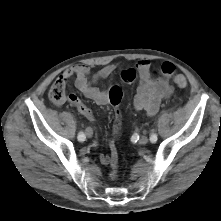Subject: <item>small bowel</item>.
<instances>
[{
	"label": "small bowel",
	"instance_id": "obj_1",
	"mask_svg": "<svg viewBox=\"0 0 221 221\" xmlns=\"http://www.w3.org/2000/svg\"><path fill=\"white\" fill-rule=\"evenodd\" d=\"M115 70L116 65L110 63L93 76H90V68L88 66L76 64L64 71L58 79L66 85L71 78H75V86L84 97L104 106L112 104L109 96L110 89L102 90L96 86V83L110 76ZM136 79L139 82L133 98L134 108L143 110L150 116L155 115L162 100L173 93L172 85L167 79L152 75L151 63L148 60H140L134 68H129L122 72V80L124 82L132 83ZM74 105L85 118L91 122L95 121L92 111L82 102ZM99 161L102 165H109L110 156L100 154Z\"/></svg>",
	"mask_w": 221,
	"mask_h": 221
}]
</instances>
